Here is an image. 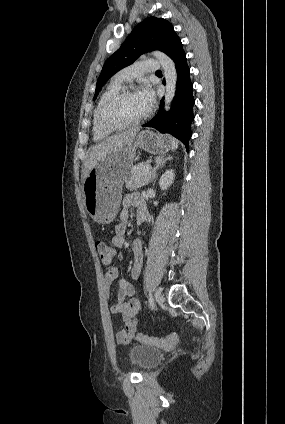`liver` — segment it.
Masks as SVG:
<instances>
[{
	"instance_id": "liver-1",
	"label": "liver",
	"mask_w": 285,
	"mask_h": 424,
	"mask_svg": "<svg viewBox=\"0 0 285 424\" xmlns=\"http://www.w3.org/2000/svg\"><path fill=\"white\" fill-rule=\"evenodd\" d=\"M138 132L139 128H133L123 133L112 135L104 141H101L100 143L92 146L88 150L84 160V168L82 173L83 179H85L91 169L96 166L99 161L104 160L108 155H111L112 153L131 143L135 139Z\"/></svg>"
}]
</instances>
